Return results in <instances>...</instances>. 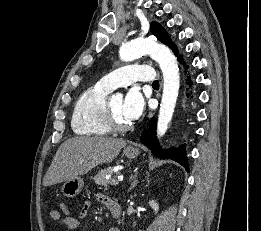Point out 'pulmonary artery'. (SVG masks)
Instances as JSON below:
<instances>
[{"label": "pulmonary artery", "mask_w": 261, "mask_h": 231, "mask_svg": "<svg viewBox=\"0 0 261 231\" xmlns=\"http://www.w3.org/2000/svg\"><path fill=\"white\" fill-rule=\"evenodd\" d=\"M154 82V69L145 65H128L105 74L99 83L110 90L130 84L132 82Z\"/></svg>", "instance_id": "pulmonary-artery-1"}]
</instances>
